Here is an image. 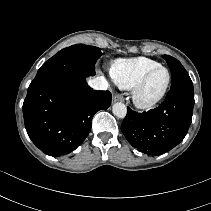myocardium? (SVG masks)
<instances>
[{
    "label": "myocardium",
    "mask_w": 211,
    "mask_h": 211,
    "mask_svg": "<svg viewBox=\"0 0 211 211\" xmlns=\"http://www.w3.org/2000/svg\"><path fill=\"white\" fill-rule=\"evenodd\" d=\"M161 69L165 70L167 73V80H166L164 87L156 96H154L152 98H146L144 96V90H145V87H146V84H147L149 78L156 71L161 70ZM170 83H171V73L168 68H166L162 65H158V66L150 69L143 75V77L140 79L138 84L133 88L132 98H133V102H134L135 106L141 110H151V109L155 108L166 96L169 86H170Z\"/></svg>",
    "instance_id": "myocardium-1"
}]
</instances>
